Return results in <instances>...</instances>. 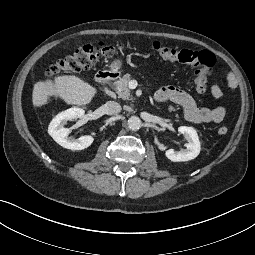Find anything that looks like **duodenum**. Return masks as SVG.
<instances>
[{
    "label": "duodenum",
    "instance_id": "1",
    "mask_svg": "<svg viewBox=\"0 0 255 255\" xmlns=\"http://www.w3.org/2000/svg\"><path fill=\"white\" fill-rule=\"evenodd\" d=\"M118 74L115 71L102 69L96 73V81L100 84H108L117 78Z\"/></svg>",
    "mask_w": 255,
    "mask_h": 255
}]
</instances>
